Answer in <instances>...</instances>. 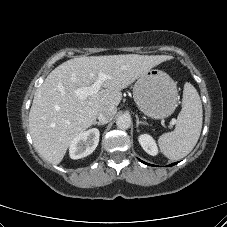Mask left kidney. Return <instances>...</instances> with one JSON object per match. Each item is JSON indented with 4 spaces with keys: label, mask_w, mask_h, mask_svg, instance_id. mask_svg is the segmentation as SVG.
I'll list each match as a JSON object with an SVG mask.
<instances>
[{
    "label": "left kidney",
    "mask_w": 227,
    "mask_h": 227,
    "mask_svg": "<svg viewBox=\"0 0 227 227\" xmlns=\"http://www.w3.org/2000/svg\"><path fill=\"white\" fill-rule=\"evenodd\" d=\"M138 141L142 148L152 156H156L158 154V147L155 140L148 134H141L138 138Z\"/></svg>",
    "instance_id": "1"
}]
</instances>
